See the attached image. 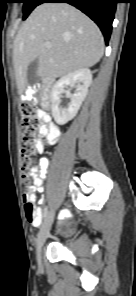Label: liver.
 I'll return each mask as SVG.
<instances>
[{"label":"liver","instance_id":"1","mask_svg":"<svg viewBox=\"0 0 136 296\" xmlns=\"http://www.w3.org/2000/svg\"><path fill=\"white\" fill-rule=\"evenodd\" d=\"M49 42L50 48L44 43ZM104 53L98 26L67 3H43L23 23L14 40L13 63L19 94L27 87L28 65L38 59V76L55 79L94 66Z\"/></svg>","mask_w":136,"mask_h":296}]
</instances>
